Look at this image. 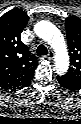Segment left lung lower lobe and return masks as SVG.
Returning a JSON list of instances; mask_svg holds the SVG:
<instances>
[{"label": "left lung lower lobe", "mask_w": 81, "mask_h": 124, "mask_svg": "<svg viewBox=\"0 0 81 124\" xmlns=\"http://www.w3.org/2000/svg\"><path fill=\"white\" fill-rule=\"evenodd\" d=\"M58 83L64 87L65 89L71 90V91H77L80 88L75 86L72 82L65 79L63 76H57Z\"/></svg>", "instance_id": "left-lung-lower-lobe-1"}]
</instances>
